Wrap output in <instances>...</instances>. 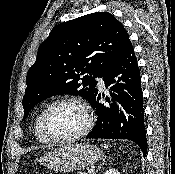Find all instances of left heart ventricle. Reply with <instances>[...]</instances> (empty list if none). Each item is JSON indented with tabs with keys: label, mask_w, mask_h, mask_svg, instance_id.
Returning <instances> with one entry per match:
<instances>
[{
	"label": "left heart ventricle",
	"mask_w": 175,
	"mask_h": 174,
	"mask_svg": "<svg viewBox=\"0 0 175 174\" xmlns=\"http://www.w3.org/2000/svg\"><path fill=\"white\" fill-rule=\"evenodd\" d=\"M85 125L82 110L74 104H61L49 114L47 126L55 137H68L79 132Z\"/></svg>",
	"instance_id": "1"
}]
</instances>
